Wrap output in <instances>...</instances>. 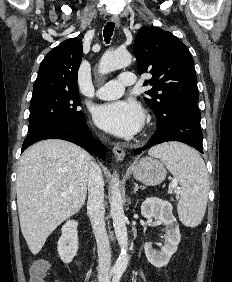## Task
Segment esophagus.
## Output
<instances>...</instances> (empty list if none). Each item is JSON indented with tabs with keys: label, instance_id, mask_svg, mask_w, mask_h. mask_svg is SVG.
Here are the masks:
<instances>
[{
	"label": "esophagus",
	"instance_id": "esophagus-1",
	"mask_svg": "<svg viewBox=\"0 0 232 282\" xmlns=\"http://www.w3.org/2000/svg\"><path fill=\"white\" fill-rule=\"evenodd\" d=\"M111 21L116 25V27L120 26V19H119L118 16L113 15L111 17ZM112 150H113V153H114L115 157L117 158V160H123L124 159L125 152L121 147L116 145V146L113 147Z\"/></svg>",
	"mask_w": 232,
	"mask_h": 282
}]
</instances>
